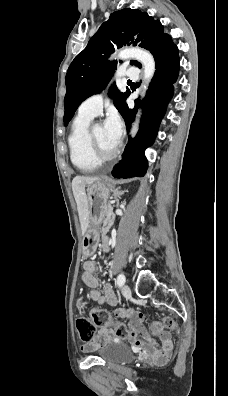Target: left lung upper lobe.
Instances as JSON below:
<instances>
[{
	"label": "left lung upper lobe",
	"mask_w": 228,
	"mask_h": 396,
	"mask_svg": "<svg viewBox=\"0 0 228 396\" xmlns=\"http://www.w3.org/2000/svg\"><path fill=\"white\" fill-rule=\"evenodd\" d=\"M163 34L165 31L160 21L154 20L146 12L127 8L112 13L86 48L74 58L67 71L64 125L69 123L86 98L100 92L112 78L117 61L109 62L107 58L115 48L133 44L148 49L150 43ZM130 64L141 67L137 61H131ZM129 94V91L119 92L115 84L111 87L109 96L114 98V105L119 112L123 110Z\"/></svg>",
	"instance_id": "1"
}]
</instances>
